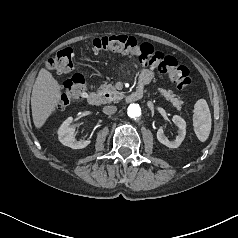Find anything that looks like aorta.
Here are the masks:
<instances>
[{"instance_id":"aorta-1","label":"aorta","mask_w":238,"mask_h":238,"mask_svg":"<svg viewBox=\"0 0 238 238\" xmlns=\"http://www.w3.org/2000/svg\"><path fill=\"white\" fill-rule=\"evenodd\" d=\"M127 113L130 118H138L141 115V108L139 104H130L127 108Z\"/></svg>"}]
</instances>
